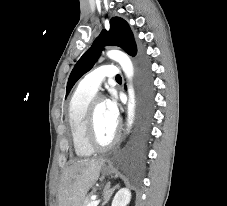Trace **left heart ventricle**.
Masks as SVG:
<instances>
[{
    "label": "left heart ventricle",
    "mask_w": 227,
    "mask_h": 206,
    "mask_svg": "<svg viewBox=\"0 0 227 206\" xmlns=\"http://www.w3.org/2000/svg\"><path fill=\"white\" fill-rule=\"evenodd\" d=\"M116 130V126L109 120L105 103L100 101L96 106V134L101 143H108Z\"/></svg>",
    "instance_id": "left-heart-ventricle-1"
}]
</instances>
